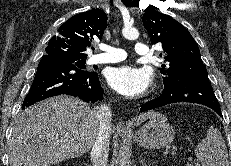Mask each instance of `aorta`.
<instances>
[{
    "label": "aorta",
    "instance_id": "1",
    "mask_svg": "<svg viewBox=\"0 0 231 166\" xmlns=\"http://www.w3.org/2000/svg\"><path fill=\"white\" fill-rule=\"evenodd\" d=\"M122 34L128 40H136L139 37L138 30L130 25L124 26ZM119 166H126V163L122 161Z\"/></svg>",
    "mask_w": 231,
    "mask_h": 166
}]
</instances>
